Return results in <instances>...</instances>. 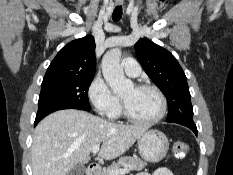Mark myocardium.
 Here are the masks:
<instances>
[{
    "label": "myocardium",
    "mask_w": 233,
    "mask_h": 175,
    "mask_svg": "<svg viewBox=\"0 0 233 175\" xmlns=\"http://www.w3.org/2000/svg\"><path fill=\"white\" fill-rule=\"evenodd\" d=\"M134 87L138 90L149 89V90L154 91L160 99V104H161L160 111L155 117H153L151 119H146V120L139 119L131 114L126 102L121 98V111H122L123 116L129 122L134 123V124H138V125H152V124H155V123L159 122L160 120H162L167 113V107H168L167 99H166V96L163 93V91L159 87H157L156 85H153L150 83H140V84H136Z\"/></svg>",
    "instance_id": "f54148a6"
}]
</instances>
